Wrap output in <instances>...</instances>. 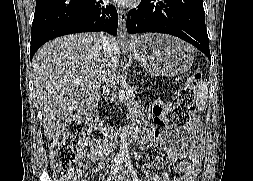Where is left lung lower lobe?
Listing matches in <instances>:
<instances>
[{
    "label": "left lung lower lobe",
    "instance_id": "left-lung-lower-lobe-1",
    "mask_svg": "<svg viewBox=\"0 0 253 181\" xmlns=\"http://www.w3.org/2000/svg\"><path fill=\"white\" fill-rule=\"evenodd\" d=\"M127 31L177 36L211 60L203 0H142L138 8L127 15Z\"/></svg>",
    "mask_w": 253,
    "mask_h": 181
}]
</instances>
